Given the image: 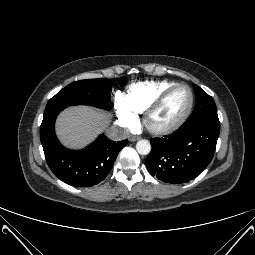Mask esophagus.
I'll return each instance as SVG.
<instances>
[{
	"label": "esophagus",
	"instance_id": "34e87169",
	"mask_svg": "<svg viewBox=\"0 0 255 255\" xmlns=\"http://www.w3.org/2000/svg\"><path fill=\"white\" fill-rule=\"evenodd\" d=\"M139 139H140L139 136H135V135H130L129 136V141H131V142H135V141H137Z\"/></svg>",
	"mask_w": 255,
	"mask_h": 255
}]
</instances>
